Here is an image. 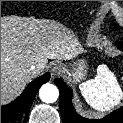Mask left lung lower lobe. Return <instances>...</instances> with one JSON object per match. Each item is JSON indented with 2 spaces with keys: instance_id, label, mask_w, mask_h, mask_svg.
Instances as JSON below:
<instances>
[{
  "instance_id": "left-lung-lower-lobe-1",
  "label": "left lung lower lobe",
  "mask_w": 123,
  "mask_h": 123,
  "mask_svg": "<svg viewBox=\"0 0 123 123\" xmlns=\"http://www.w3.org/2000/svg\"><path fill=\"white\" fill-rule=\"evenodd\" d=\"M116 45L123 51V43L116 42ZM54 82L60 90L59 106L64 123H123V107L98 120L81 117L71 103L72 91L61 79L56 78Z\"/></svg>"
}]
</instances>
